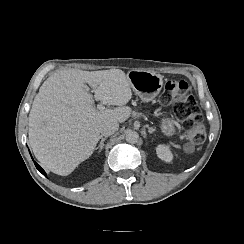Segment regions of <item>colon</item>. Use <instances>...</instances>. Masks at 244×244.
I'll list each match as a JSON object with an SVG mask.
<instances>
[{"instance_id":"colon-1","label":"colon","mask_w":244,"mask_h":244,"mask_svg":"<svg viewBox=\"0 0 244 244\" xmlns=\"http://www.w3.org/2000/svg\"><path fill=\"white\" fill-rule=\"evenodd\" d=\"M163 104H172L176 116L184 121L188 139L194 144H201L206 139V127L200 108L190 94L187 81L171 78L166 81L160 96Z\"/></svg>"}]
</instances>
